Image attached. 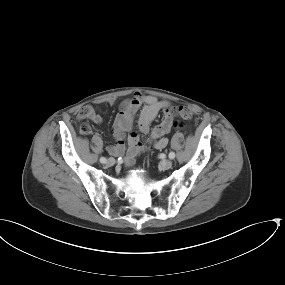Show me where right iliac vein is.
I'll return each mask as SVG.
<instances>
[{
	"label": "right iliac vein",
	"instance_id": "right-iliac-vein-1",
	"mask_svg": "<svg viewBox=\"0 0 285 285\" xmlns=\"http://www.w3.org/2000/svg\"><path fill=\"white\" fill-rule=\"evenodd\" d=\"M115 163H116V161H115L114 158H109V159L107 160V165H108V166H113Z\"/></svg>",
	"mask_w": 285,
	"mask_h": 285
}]
</instances>
